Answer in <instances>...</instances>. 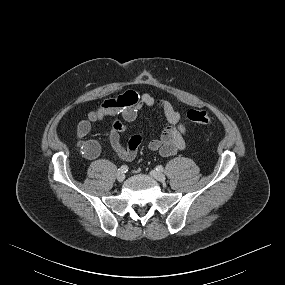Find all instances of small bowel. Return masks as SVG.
Wrapping results in <instances>:
<instances>
[{
	"label": "small bowel",
	"mask_w": 285,
	"mask_h": 285,
	"mask_svg": "<svg viewBox=\"0 0 285 285\" xmlns=\"http://www.w3.org/2000/svg\"><path fill=\"white\" fill-rule=\"evenodd\" d=\"M143 107L159 108L166 119V127L158 137L150 140L149 149L164 157L172 156L184 149L187 129L180 113L173 105L164 98H156L148 93L139 94L132 90H128L116 98L105 100L79 122L76 131L78 149L85 158L96 159L100 154V145L95 140H85V137L89 134L93 123L102 121L106 117H112L114 121L110 129L109 141L115 156L126 161L132 160L141 144V137L133 135L128 146L124 147L120 141L121 134L126 131L123 121L133 122L137 118L138 111Z\"/></svg>",
	"instance_id": "small-bowel-1"
}]
</instances>
